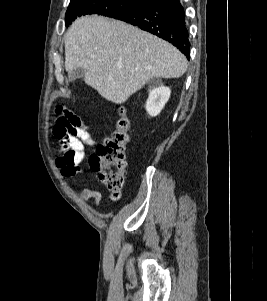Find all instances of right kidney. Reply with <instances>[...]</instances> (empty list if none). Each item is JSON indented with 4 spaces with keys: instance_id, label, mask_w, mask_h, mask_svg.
Wrapping results in <instances>:
<instances>
[{
    "instance_id": "obj_1",
    "label": "right kidney",
    "mask_w": 267,
    "mask_h": 301,
    "mask_svg": "<svg viewBox=\"0 0 267 301\" xmlns=\"http://www.w3.org/2000/svg\"><path fill=\"white\" fill-rule=\"evenodd\" d=\"M171 90L168 87H160L149 92L146 102V111L150 116H157L170 98Z\"/></svg>"
}]
</instances>
